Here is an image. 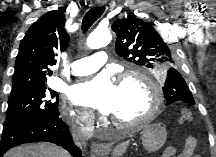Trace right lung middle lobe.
<instances>
[{"instance_id": "obj_1", "label": "right lung middle lobe", "mask_w": 216, "mask_h": 157, "mask_svg": "<svg viewBox=\"0 0 216 157\" xmlns=\"http://www.w3.org/2000/svg\"><path fill=\"white\" fill-rule=\"evenodd\" d=\"M57 116H59L57 92L46 86L19 90L10 94L3 131L30 120Z\"/></svg>"}]
</instances>
